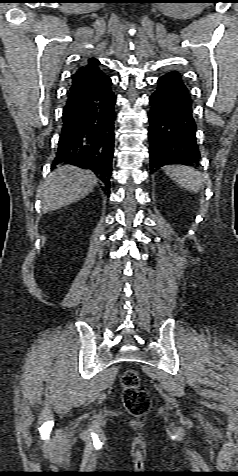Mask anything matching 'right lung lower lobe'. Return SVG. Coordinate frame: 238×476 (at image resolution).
<instances>
[{"label":"right lung lower lobe","instance_id":"1","mask_svg":"<svg viewBox=\"0 0 238 476\" xmlns=\"http://www.w3.org/2000/svg\"><path fill=\"white\" fill-rule=\"evenodd\" d=\"M107 76L83 98L64 107L63 127L53 161L92 170L110 192L114 154V105L116 97Z\"/></svg>","mask_w":238,"mask_h":476}]
</instances>
